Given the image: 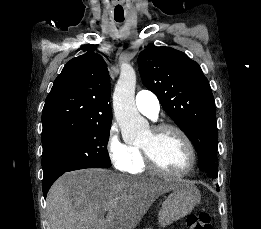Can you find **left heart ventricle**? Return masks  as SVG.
<instances>
[{
	"mask_svg": "<svg viewBox=\"0 0 261 229\" xmlns=\"http://www.w3.org/2000/svg\"><path fill=\"white\" fill-rule=\"evenodd\" d=\"M141 145H150L157 162L168 171H182L190 162L186 144L181 136L173 131H166L155 140L151 139L149 132Z\"/></svg>",
	"mask_w": 261,
	"mask_h": 229,
	"instance_id": "left-heart-ventricle-1",
	"label": "left heart ventricle"
}]
</instances>
